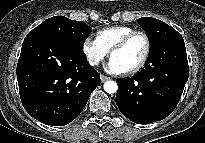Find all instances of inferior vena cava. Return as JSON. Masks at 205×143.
I'll return each instance as SVG.
<instances>
[{"label": "inferior vena cava", "instance_id": "602c4592", "mask_svg": "<svg viewBox=\"0 0 205 143\" xmlns=\"http://www.w3.org/2000/svg\"><path fill=\"white\" fill-rule=\"evenodd\" d=\"M90 63H91L92 65H97V64H98V61H97V60H91Z\"/></svg>", "mask_w": 205, "mask_h": 143}]
</instances>
